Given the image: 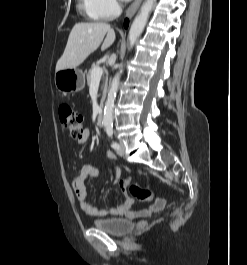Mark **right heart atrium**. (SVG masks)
Segmentation results:
<instances>
[{"instance_id":"1","label":"right heart atrium","mask_w":247,"mask_h":265,"mask_svg":"<svg viewBox=\"0 0 247 265\" xmlns=\"http://www.w3.org/2000/svg\"><path fill=\"white\" fill-rule=\"evenodd\" d=\"M89 15L98 19H111L119 14L121 7L117 0H85Z\"/></svg>"}]
</instances>
